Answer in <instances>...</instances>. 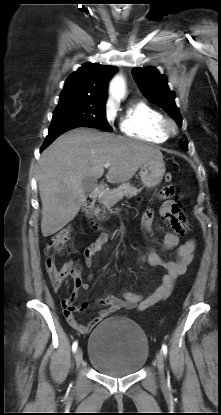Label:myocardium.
Masks as SVG:
<instances>
[{
	"label": "myocardium",
	"mask_w": 221,
	"mask_h": 415,
	"mask_svg": "<svg viewBox=\"0 0 221 415\" xmlns=\"http://www.w3.org/2000/svg\"><path fill=\"white\" fill-rule=\"evenodd\" d=\"M161 129L166 135L171 136L177 133L178 126L172 118L163 117L161 121Z\"/></svg>",
	"instance_id": "obj_1"
}]
</instances>
